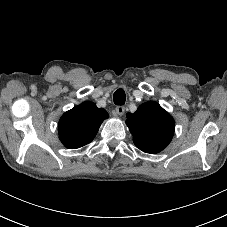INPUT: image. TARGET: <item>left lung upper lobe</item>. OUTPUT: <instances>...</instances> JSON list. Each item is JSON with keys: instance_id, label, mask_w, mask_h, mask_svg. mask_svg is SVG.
Segmentation results:
<instances>
[{"instance_id": "5c2ea615", "label": "left lung upper lobe", "mask_w": 227, "mask_h": 227, "mask_svg": "<svg viewBox=\"0 0 227 227\" xmlns=\"http://www.w3.org/2000/svg\"><path fill=\"white\" fill-rule=\"evenodd\" d=\"M126 116L134 144L143 152L155 154L170 143L174 134V120L158 103H144L136 112Z\"/></svg>"}]
</instances>
